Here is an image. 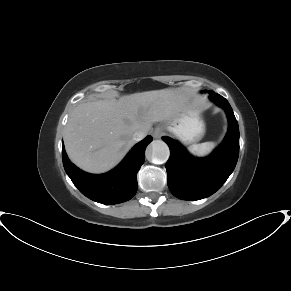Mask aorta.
Masks as SVG:
<instances>
[{"label": "aorta", "instance_id": "1", "mask_svg": "<svg viewBox=\"0 0 291 291\" xmlns=\"http://www.w3.org/2000/svg\"><path fill=\"white\" fill-rule=\"evenodd\" d=\"M151 161L155 164L165 163L169 156L170 150L168 145L162 140H154L148 148Z\"/></svg>", "mask_w": 291, "mask_h": 291}]
</instances>
